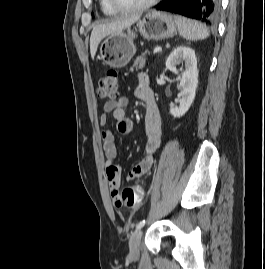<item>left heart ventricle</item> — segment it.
Returning a JSON list of instances; mask_svg holds the SVG:
<instances>
[{"mask_svg": "<svg viewBox=\"0 0 265 269\" xmlns=\"http://www.w3.org/2000/svg\"><path fill=\"white\" fill-rule=\"evenodd\" d=\"M116 1L120 6L132 7V6L143 4L147 2L148 0H116Z\"/></svg>", "mask_w": 265, "mask_h": 269, "instance_id": "b2bd125f", "label": "left heart ventricle"}]
</instances>
